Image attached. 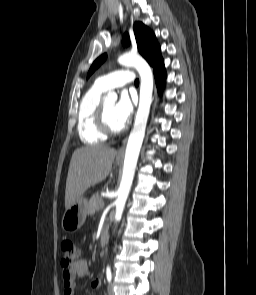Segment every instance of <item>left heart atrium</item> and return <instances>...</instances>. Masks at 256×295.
I'll use <instances>...</instances> for the list:
<instances>
[{
  "instance_id": "1",
  "label": "left heart atrium",
  "mask_w": 256,
  "mask_h": 295,
  "mask_svg": "<svg viewBox=\"0 0 256 295\" xmlns=\"http://www.w3.org/2000/svg\"><path fill=\"white\" fill-rule=\"evenodd\" d=\"M133 112V99L127 92H123L115 105L114 116L121 127H124Z\"/></svg>"
}]
</instances>
